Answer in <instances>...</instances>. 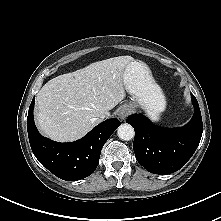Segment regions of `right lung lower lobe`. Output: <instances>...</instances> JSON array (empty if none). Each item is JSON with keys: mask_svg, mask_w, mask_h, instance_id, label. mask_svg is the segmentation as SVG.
Returning <instances> with one entry per match:
<instances>
[{"mask_svg": "<svg viewBox=\"0 0 221 221\" xmlns=\"http://www.w3.org/2000/svg\"><path fill=\"white\" fill-rule=\"evenodd\" d=\"M34 102L35 97L28 111L27 131L37 160L55 176L66 181H77L91 175L99 163L102 147L121 122L116 118L108 119L75 142L58 143L37 131L33 119Z\"/></svg>", "mask_w": 221, "mask_h": 221, "instance_id": "1", "label": "right lung lower lobe"}]
</instances>
